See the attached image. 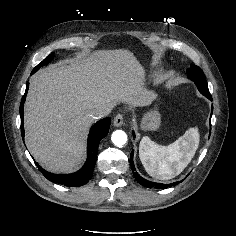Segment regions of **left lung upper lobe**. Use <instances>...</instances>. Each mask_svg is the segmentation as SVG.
Returning <instances> with one entry per match:
<instances>
[{
	"label": "left lung upper lobe",
	"mask_w": 236,
	"mask_h": 236,
	"mask_svg": "<svg viewBox=\"0 0 236 236\" xmlns=\"http://www.w3.org/2000/svg\"><path fill=\"white\" fill-rule=\"evenodd\" d=\"M187 76L189 79L194 81L201 94H203L207 98L211 97L205 75L198 66L191 65V67L187 70Z\"/></svg>",
	"instance_id": "left-lung-upper-lobe-1"
}]
</instances>
